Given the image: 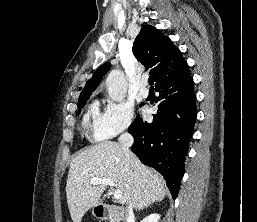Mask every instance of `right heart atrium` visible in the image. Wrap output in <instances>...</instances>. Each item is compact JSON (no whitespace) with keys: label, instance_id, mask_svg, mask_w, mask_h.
I'll use <instances>...</instances> for the list:
<instances>
[{"label":"right heart atrium","instance_id":"d8ad5b80","mask_svg":"<svg viewBox=\"0 0 257 222\" xmlns=\"http://www.w3.org/2000/svg\"><path fill=\"white\" fill-rule=\"evenodd\" d=\"M108 105L111 110L119 112L124 117V123L120 128H112L104 122V117L99 116L94 130L95 139H109L116 137L119 134H122L128 131L132 125L134 119V108L131 104L125 102H108Z\"/></svg>","mask_w":257,"mask_h":222}]
</instances>
